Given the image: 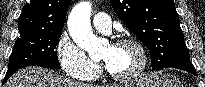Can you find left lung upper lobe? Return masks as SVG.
Wrapping results in <instances>:
<instances>
[{
    "label": "left lung upper lobe",
    "mask_w": 205,
    "mask_h": 87,
    "mask_svg": "<svg viewBox=\"0 0 205 87\" xmlns=\"http://www.w3.org/2000/svg\"><path fill=\"white\" fill-rule=\"evenodd\" d=\"M118 17L144 43L152 70L190 61L173 0H110Z\"/></svg>",
    "instance_id": "obj_1"
}]
</instances>
